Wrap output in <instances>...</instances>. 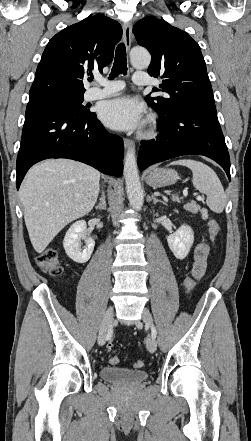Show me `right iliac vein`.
<instances>
[{
	"mask_svg": "<svg viewBox=\"0 0 251 441\" xmlns=\"http://www.w3.org/2000/svg\"><path fill=\"white\" fill-rule=\"evenodd\" d=\"M113 307H109L105 312L103 320L100 325L99 335H98V344L103 346L106 342L107 333L113 323Z\"/></svg>",
	"mask_w": 251,
	"mask_h": 441,
	"instance_id": "1",
	"label": "right iliac vein"
}]
</instances>
